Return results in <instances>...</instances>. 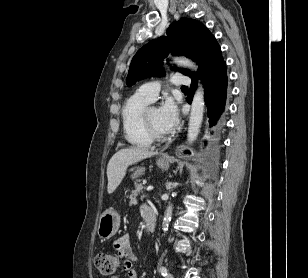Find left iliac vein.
<instances>
[{"mask_svg":"<svg viewBox=\"0 0 308 278\" xmlns=\"http://www.w3.org/2000/svg\"><path fill=\"white\" fill-rule=\"evenodd\" d=\"M166 278H174V277H173V275H172L171 273H168V274L166 275Z\"/></svg>","mask_w":308,"mask_h":278,"instance_id":"1","label":"left iliac vein"}]
</instances>
